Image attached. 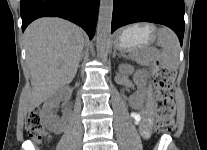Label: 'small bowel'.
Returning a JSON list of instances; mask_svg holds the SVG:
<instances>
[{
	"instance_id": "1",
	"label": "small bowel",
	"mask_w": 207,
	"mask_h": 150,
	"mask_svg": "<svg viewBox=\"0 0 207 150\" xmlns=\"http://www.w3.org/2000/svg\"><path fill=\"white\" fill-rule=\"evenodd\" d=\"M132 118L137 124L141 135L145 138L149 137L151 134V129L153 125V102L150 98L146 102V111L144 114L138 112L132 113Z\"/></svg>"
}]
</instances>
